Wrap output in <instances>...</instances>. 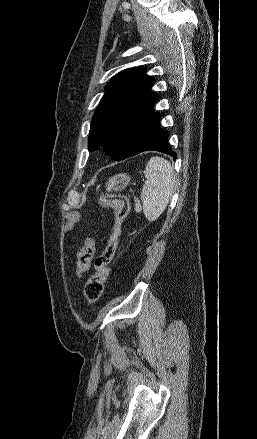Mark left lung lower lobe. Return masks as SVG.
Returning a JSON list of instances; mask_svg holds the SVG:
<instances>
[{"instance_id": "left-lung-lower-lobe-1", "label": "left lung lower lobe", "mask_w": 257, "mask_h": 439, "mask_svg": "<svg viewBox=\"0 0 257 439\" xmlns=\"http://www.w3.org/2000/svg\"><path fill=\"white\" fill-rule=\"evenodd\" d=\"M160 118L161 115L154 111L150 114L140 131L136 145L126 158L138 155L144 151L155 150L169 154L176 159L177 154L171 149L167 140L169 132L160 127Z\"/></svg>"}]
</instances>
